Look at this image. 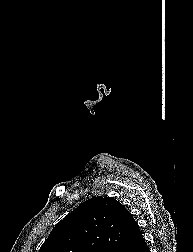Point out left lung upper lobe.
<instances>
[{
  "label": "left lung upper lobe",
  "instance_id": "1",
  "mask_svg": "<svg viewBox=\"0 0 193 252\" xmlns=\"http://www.w3.org/2000/svg\"><path fill=\"white\" fill-rule=\"evenodd\" d=\"M137 227L119 201L97 196L56 224L39 252H122Z\"/></svg>",
  "mask_w": 193,
  "mask_h": 252
}]
</instances>
